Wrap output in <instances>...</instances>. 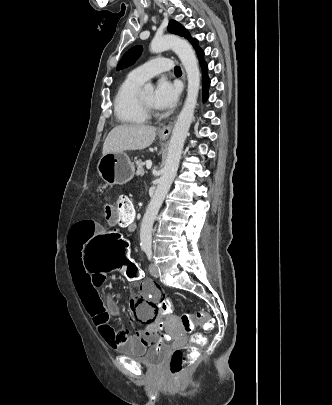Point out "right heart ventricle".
<instances>
[{
  "label": "right heart ventricle",
  "mask_w": 332,
  "mask_h": 405,
  "mask_svg": "<svg viewBox=\"0 0 332 405\" xmlns=\"http://www.w3.org/2000/svg\"><path fill=\"white\" fill-rule=\"evenodd\" d=\"M143 83L127 78L118 88L114 98V114L124 125H139L147 122L148 116L138 101V91Z\"/></svg>",
  "instance_id": "right-heart-ventricle-1"
}]
</instances>
